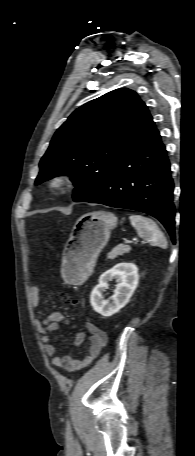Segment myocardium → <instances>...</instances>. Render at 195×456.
<instances>
[{"instance_id": "1", "label": "myocardium", "mask_w": 195, "mask_h": 456, "mask_svg": "<svg viewBox=\"0 0 195 456\" xmlns=\"http://www.w3.org/2000/svg\"><path fill=\"white\" fill-rule=\"evenodd\" d=\"M69 179L64 175H58L50 179L49 187L51 190L61 192L68 186Z\"/></svg>"}]
</instances>
